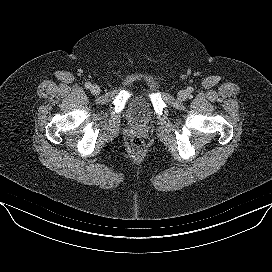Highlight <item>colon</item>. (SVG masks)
I'll return each instance as SVG.
<instances>
[{
  "mask_svg": "<svg viewBox=\"0 0 272 272\" xmlns=\"http://www.w3.org/2000/svg\"><path fill=\"white\" fill-rule=\"evenodd\" d=\"M130 145H131L132 151L135 153H141L145 147L143 140L139 137H134L131 140Z\"/></svg>",
  "mask_w": 272,
  "mask_h": 272,
  "instance_id": "1",
  "label": "colon"
}]
</instances>
